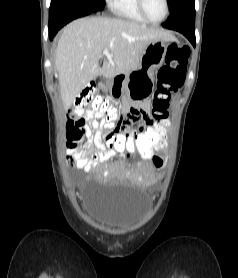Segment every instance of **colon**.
<instances>
[{
	"label": "colon",
	"mask_w": 238,
	"mask_h": 278,
	"mask_svg": "<svg viewBox=\"0 0 238 278\" xmlns=\"http://www.w3.org/2000/svg\"><path fill=\"white\" fill-rule=\"evenodd\" d=\"M189 49L177 43H171L166 50L165 62L157 71V89L153 99L152 115L156 124H149L145 137H118L119 124L123 118L110 103L101 95L94 86L86 87L75 99L72 110V119L66 123L68 146L72 140H80L84 136L83 126L86 118L94 114H101L107 118L101 127L98 137L102 156L116 155L117 159H150L156 155V149H167L168 141H164L168 129V113L171 97L183 85L185 80L186 65L189 59ZM69 167L75 166V159L68 156ZM153 162L161 165V160L153 157Z\"/></svg>",
	"instance_id": "1"
}]
</instances>
